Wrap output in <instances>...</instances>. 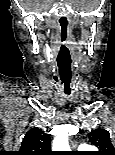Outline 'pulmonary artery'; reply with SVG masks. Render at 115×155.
<instances>
[{
    "label": "pulmonary artery",
    "mask_w": 115,
    "mask_h": 155,
    "mask_svg": "<svg viewBox=\"0 0 115 155\" xmlns=\"http://www.w3.org/2000/svg\"><path fill=\"white\" fill-rule=\"evenodd\" d=\"M79 148H81V149H88V148H90V146L85 145V144H81V145L79 146Z\"/></svg>",
    "instance_id": "obj_1"
}]
</instances>
